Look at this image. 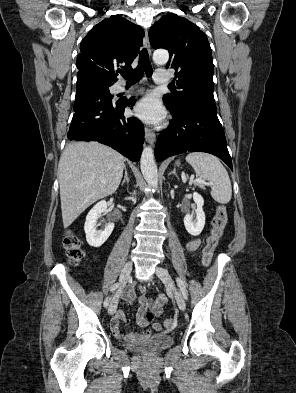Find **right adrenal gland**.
I'll use <instances>...</instances> for the list:
<instances>
[{
  "mask_svg": "<svg viewBox=\"0 0 296 393\" xmlns=\"http://www.w3.org/2000/svg\"><path fill=\"white\" fill-rule=\"evenodd\" d=\"M124 169H125V175H124V179H123L121 185H124L125 183L129 184V181H130V179L128 177V172H127L126 165L124 166Z\"/></svg>",
  "mask_w": 296,
  "mask_h": 393,
  "instance_id": "1",
  "label": "right adrenal gland"
}]
</instances>
